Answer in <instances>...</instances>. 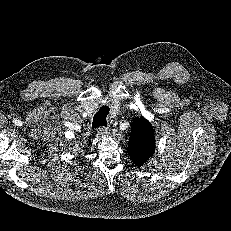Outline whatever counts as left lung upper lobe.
Masks as SVG:
<instances>
[{
  "mask_svg": "<svg viewBox=\"0 0 231 231\" xmlns=\"http://www.w3.org/2000/svg\"><path fill=\"white\" fill-rule=\"evenodd\" d=\"M128 154L132 162L141 166L155 151L154 131L151 124L144 118H137L131 123V134Z\"/></svg>",
  "mask_w": 231,
  "mask_h": 231,
  "instance_id": "5c2ea615",
  "label": "left lung upper lobe"
}]
</instances>
